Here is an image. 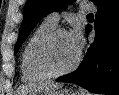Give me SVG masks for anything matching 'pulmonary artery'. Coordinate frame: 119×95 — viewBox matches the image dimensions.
<instances>
[{"mask_svg": "<svg viewBox=\"0 0 119 95\" xmlns=\"http://www.w3.org/2000/svg\"><path fill=\"white\" fill-rule=\"evenodd\" d=\"M80 8L84 11H92L93 10V6L90 5L89 3H85V2L80 5ZM46 19L57 25L60 17H59L58 13H51L47 16Z\"/></svg>", "mask_w": 119, "mask_h": 95, "instance_id": "pulmonary-artery-1", "label": "pulmonary artery"}]
</instances>
